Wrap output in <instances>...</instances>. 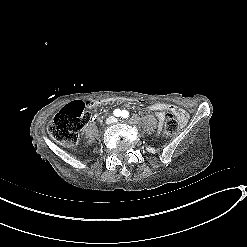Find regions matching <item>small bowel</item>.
Instances as JSON below:
<instances>
[{
  "mask_svg": "<svg viewBox=\"0 0 247 247\" xmlns=\"http://www.w3.org/2000/svg\"><path fill=\"white\" fill-rule=\"evenodd\" d=\"M146 108L151 111L154 112L158 121V125L161 128L164 120L166 118V114L168 112H173L180 123H184L186 121L187 118V114L184 110L175 107V106H170L164 103H152V104H148L146 106Z\"/></svg>",
  "mask_w": 247,
  "mask_h": 247,
  "instance_id": "c3829d8e",
  "label": "small bowel"
}]
</instances>
